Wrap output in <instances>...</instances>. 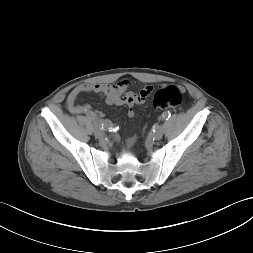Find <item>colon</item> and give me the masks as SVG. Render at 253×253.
I'll return each mask as SVG.
<instances>
[{
  "label": "colon",
  "instance_id": "1",
  "mask_svg": "<svg viewBox=\"0 0 253 253\" xmlns=\"http://www.w3.org/2000/svg\"><path fill=\"white\" fill-rule=\"evenodd\" d=\"M182 102L181 90L176 86H166L156 91L153 97L154 107L158 110L177 109Z\"/></svg>",
  "mask_w": 253,
  "mask_h": 253
}]
</instances>
